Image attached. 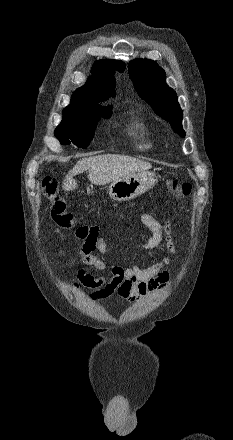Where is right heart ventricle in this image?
<instances>
[{"label":"right heart ventricle","mask_w":233,"mask_h":440,"mask_svg":"<svg viewBox=\"0 0 233 440\" xmlns=\"http://www.w3.org/2000/svg\"><path fill=\"white\" fill-rule=\"evenodd\" d=\"M127 132L138 140L137 147L140 150L146 151L153 147L150 140V129L143 121L135 120L132 122L127 128Z\"/></svg>","instance_id":"1"}]
</instances>
